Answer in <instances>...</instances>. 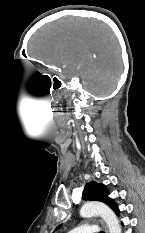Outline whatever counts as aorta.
<instances>
[{
	"label": "aorta",
	"instance_id": "obj_1",
	"mask_svg": "<svg viewBox=\"0 0 145 233\" xmlns=\"http://www.w3.org/2000/svg\"><path fill=\"white\" fill-rule=\"evenodd\" d=\"M80 216L89 218L100 216L107 224L109 233H121L122 229L115 213L101 202L85 203L80 209Z\"/></svg>",
	"mask_w": 145,
	"mask_h": 233
}]
</instances>
